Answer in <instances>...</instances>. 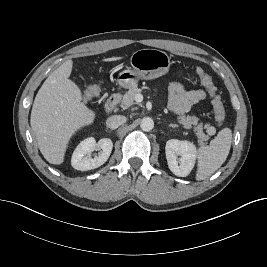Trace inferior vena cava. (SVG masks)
Masks as SVG:
<instances>
[{"instance_id":"602c4592","label":"inferior vena cava","mask_w":267,"mask_h":267,"mask_svg":"<svg viewBox=\"0 0 267 267\" xmlns=\"http://www.w3.org/2000/svg\"><path fill=\"white\" fill-rule=\"evenodd\" d=\"M126 117L121 115H113L106 120V126L110 129H116L126 122Z\"/></svg>"}]
</instances>
